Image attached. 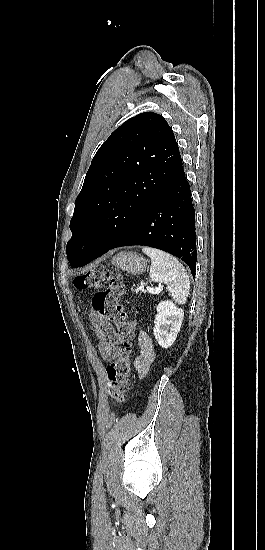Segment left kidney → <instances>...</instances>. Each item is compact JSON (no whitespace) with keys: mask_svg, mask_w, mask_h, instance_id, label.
Wrapping results in <instances>:
<instances>
[{"mask_svg":"<svg viewBox=\"0 0 265 550\" xmlns=\"http://www.w3.org/2000/svg\"><path fill=\"white\" fill-rule=\"evenodd\" d=\"M184 311L171 301H161L154 321V336L162 348L170 347L180 331Z\"/></svg>","mask_w":265,"mask_h":550,"instance_id":"5707ae66","label":"left kidney"}]
</instances>
